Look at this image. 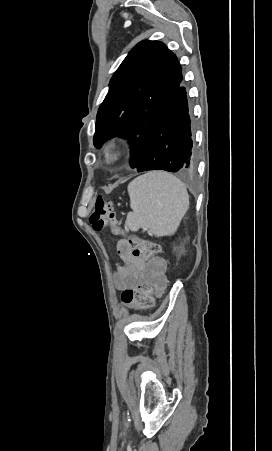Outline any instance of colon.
<instances>
[{
	"instance_id": "obj_1",
	"label": "colon",
	"mask_w": 272,
	"mask_h": 451,
	"mask_svg": "<svg viewBox=\"0 0 272 451\" xmlns=\"http://www.w3.org/2000/svg\"><path fill=\"white\" fill-rule=\"evenodd\" d=\"M91 226L97 232H101L108 225L115 234H121L122 229L118 222V217L114 211L112 202L107 201L103 196H97L94 204V210L88 218ZM120 250H131L132 258H147L148 255H154L159 252L157 244L148 245L145 240L133 237L130 241L123 242L120 245ZM157 272L154 270L150 276V282L139 285L137 288H127L123 290L120 303L124 306L135 307L143 309L148 307L153 299L154 289L157 287L155 280Z\"/></svg>"
}]
</instances>
